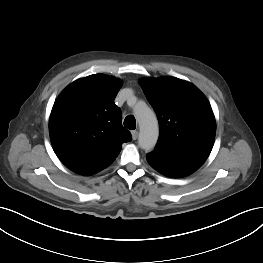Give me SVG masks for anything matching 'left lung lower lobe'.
<instances>
[{"mask_svg": "<svg viewBox=\"0 0 263 263\" xmlns=\"http://www.w3.org/2000/svg\"><path fill=\"white\" fill-rule=\"evenodd\" d=\"M148 163L165 176L179 178L196 171L206 159L197 157L173 156L156 150L146 155Z\"/></svg>", "mask_w": 263, "mask_h": 263, "instance_id": "left-lung-lower-lobe-1", "label": "left lung lower lobe"}]
</instances>
